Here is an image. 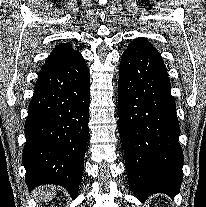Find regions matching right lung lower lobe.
Here are the masks:
<instances>
[{
	"instance_id": "obj_1",
	"label": "right lung lower lobe",
	"mask_w": 206,
	"mask_h": 207,
	"mask_svg": "<svg viewBox=\"0 0 206 207\" xmlns=\"http://www.w3.org/2000/svg\"><path fill=\"white\" fill-rule=\"evenodd\" d=\"M89 82L81 55L39 73L25 124L23 165L30 190L55 184L77 196L89 134Z\"/></svg>"
}]
</instances>
